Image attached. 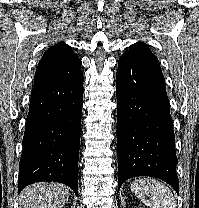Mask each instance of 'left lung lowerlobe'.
Instances as JSON below:
<instances>
[{"label":"left lung lower lobe","instance_id":"obj_1","mask_svg":"<svg viewBox=\"0 0 199 208\" xmlns=\"http://www.w3.org/2000/svg\"><path fill=\"white\" fill-rule=\"evenodd\" d=\"M116 82L119 188L129 178L151 176L178 193L175 136L163 74L122 56Z\"/></svg>","mask_w":199,"mask_h":208}]
</instances>
